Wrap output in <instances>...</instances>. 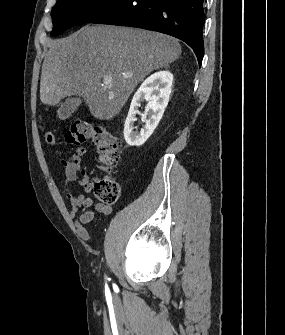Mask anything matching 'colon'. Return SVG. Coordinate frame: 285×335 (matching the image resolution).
Here are the masks:
<instances>
[{
    "instance_id": "1",
    "label": "colon",
    "mask_w": 285,
    "mask_h": 335,
    "mask_svg": "<svg viewBox=\"0 0 285 335\" xmlns=\"http://www.w3.org/2000/svg\"><path fill=\"white\" fill-rule=\"evenodd\" d=\"M45 142L49 145L55 144L53 132L42 127L41 129ZM66 141L75 146V153L70 162L78 163L83 153L82 144L91 142L99 155L100 167L112 169L120 158V143L106 127L91 122L79 120L74 122L65 134ZM92 188L96 198L105 205L115 204L120 196V185L118 180L111 176H105L92 182Z\"/></svg>"
}]
</instances>
